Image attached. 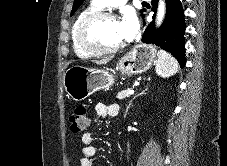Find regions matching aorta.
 <instances>
[{"instance_id":"obj_1","label":"aorta","mask_w":227,"mask_h":166,"mask_svg":"<svg viewBox=\"0 0 227 166\" xmlns=\"http://www.w3.org/2000/svg\"><path fill=\"white\" fill-rule=\"evenodd\" d=\"M165 12H166L165 1L164 0H159L157 18H156L157 26L161 25V23H162V21H163V19L165 17Z\"/></svg>"}]
</instances>
